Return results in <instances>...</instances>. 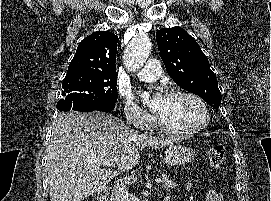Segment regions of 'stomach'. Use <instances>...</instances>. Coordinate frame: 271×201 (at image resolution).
Returning a JSON list of instances; mask_svg holds the SVG:
<instances>
[{
	"mask_svg": "<svg viewBox=\"0 0 271 201\" xmlns=\"http://www.w3.org/2000/svg\"><path fill=\"white\" fill-rule=\"evenodd\" d=\"M196 152L187 146L170 145L164 153V162L170 166L184 165L192 162Z\"/></svg>",
	"mask_w": 271,
	"mask_h": 201,
	"instance_id": "obj_1",
	"label": "stomach"
}]
</instances>
